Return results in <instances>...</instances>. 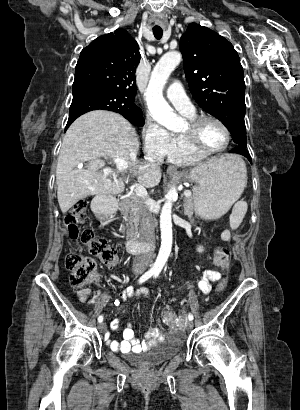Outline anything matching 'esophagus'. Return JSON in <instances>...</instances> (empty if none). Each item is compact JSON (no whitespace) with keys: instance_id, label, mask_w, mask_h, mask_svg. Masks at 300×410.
Listing matches in <instances>:
<instances>
[{"instance_id":"1","label":"esophagus","mask_w":300,"mask_h":410,"mask_svg":"<svg viewBox=\"0 0 300 410\" xmlns=\"http://www.w3.org/2000/svg\"><path fill=\"white\" fill-rule=\"evenodd\" d=\"M167 172H168L169 174H176V173H178L177 168L174 167V166L168 167V168H167Z\"/></svg>"}]
</instances>
